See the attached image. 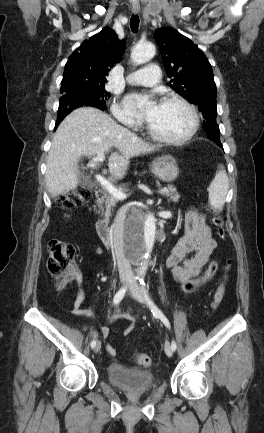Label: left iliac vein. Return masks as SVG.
<instances>
[{"instance_id":"1","label":"left iliac vein","mask_w":264,"mask_h":433,"mask_svg":"<svg viewBox=\"0 0 264 433\" xmlns=\"http://www.w3.org/2000/svg\"><path fill=\"white\" fill-rule=\"evenodd\" d=\"M129 286H130V288H129L130 294L132 295V297L135 300H137L138 302H140L142 304H146L147 303L146 299L143 296L138 283L135 280H132V281H130ZM165 353L169 357H171L172 354H173L172 347H171V345L169 344L168 341L165 343Z\"/></svg>"}]
</instances>
